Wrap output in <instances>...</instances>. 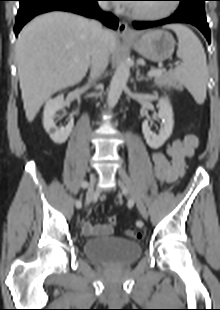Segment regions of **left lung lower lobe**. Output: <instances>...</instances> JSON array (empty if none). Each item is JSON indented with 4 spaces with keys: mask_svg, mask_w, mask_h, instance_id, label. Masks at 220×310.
Here are the masks:
<instances>
[{
    "mask_svg": "<svg viewBox=\"0 0 220 310\" xmlns=\"http://www.w3.org/2000/svg\"><path fill=\"white\" fill-rule=\"evenodd\" d=\"M173 23H188L194 25L204 34L210 43V30L206 21L205 13L194 10L180 11L177 9V11L169 18L154 22H133V27L140 30Z\"/></svg>",
    "mask_w": 220,
    "mask_h": 310,
    "instance_id": "left-lung-lower-lobe-1",
    "label": "left lung lower lobe"
}]
</instances>
